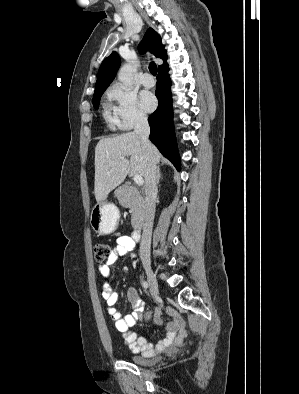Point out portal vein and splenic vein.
Masks as SVG:
<instances>
[{
  "instance_id": "obj_1",
  "label": "portal vein and splenic vein",
  "mask_w": 299,
  "mask_h": 394,
  "mask_svg": "<svg viewBox=\"0 0 299 394\" xmlns=\"http://www.w3.org/2000/svg\"><path fill=\"white\" fill-rule=\"evenodd\" d=\"M134 181L138 186H142L143 185V178L141 175L136 174L134 175Z\"/></svg>"
}]
</instances>
